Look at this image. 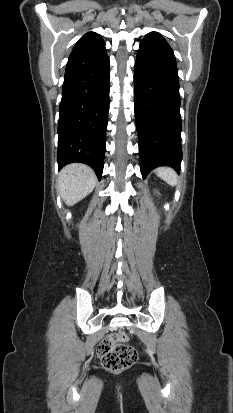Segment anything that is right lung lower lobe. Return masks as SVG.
<instances>
[{
  "mask_svg": "<svg viewBox=\"0 0 233 413\" xmlns=\"http://www.w3.org/2000/svg\"><path fill=\"white\" fill-rule=\"evenodd\" d=\"M110 71L105 43L73 51L59 107L57 161L92 167L101 179L109 112Z\"/></svg>",
  "mask_w": 233,
  "mask_h": 413,
  "instance_id": "right-lung-lower-lobe-1",
  "label": "right lung lower lobe"
}]
</instances>
